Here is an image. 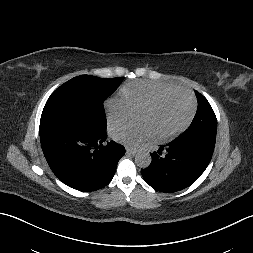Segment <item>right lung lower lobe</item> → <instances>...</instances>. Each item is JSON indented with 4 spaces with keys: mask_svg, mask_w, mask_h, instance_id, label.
<instances>
[{
    "mask_svg": "<svg viewBox=\"0 0 253 253\" xmlns=\"http://www.w3.org/2000/svg\"><path fill=\"white\" fill-rule=\"evenodd\" d=\"M107 134L61 120L40 123V141L44 156L56 177L80 191H95L114 176L125 148L108 142Z\"/></svg>",
    "mask_w": 253,
    "mask_h": 253,
    "instance_id": "right-lung-lower-lobe-1",
    "label": "right lung lower lobe"
}]
</instances>
